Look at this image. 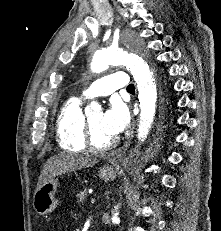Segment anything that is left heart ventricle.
Segmentation results:
<instances>
[{
    "label": "left heart ventricle",
    "instance_id": "left-heart-ventricle-1",
    "mask_svg": "<svg viewBox=\"0 0 221 231\" xmlns=\"http://www.w3.org/2000/svg\"><path fill=\"white\" fill-rule=\"evenodd\" d=\"M103 113L96 111L91 113L88 118L92 130V135L95 143L99 146H104L111 142L115 137L108 134L102 127Z\"/></svg>",
    "mask_w": 221,
    "mask_h": 231
}]
</instances>
